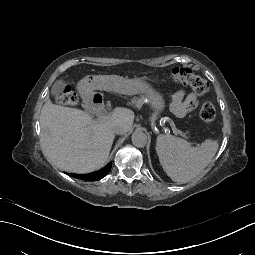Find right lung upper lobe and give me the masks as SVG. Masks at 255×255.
I'll return each mask as SVG.
<instances>
[{"mask_svg":"<svg viewBox=\"0 0 255 255\" xmlns=\"http://www.w3.org/2000/svg\"><path fill=\"white\" fill-rule=\"evenodd\" d=\"M112 166V163L107 164L104 168H102L101 170L91 173V174H86V175H74L71 174L72 176L76 177V178H80L83 180H97L98 178H100L101 176L107 175L108 172L110 171Z\"/></svg>","mask_w":255,"mask_h":255,"instance_id":"obj_1","label":"right lung upper lobe"}]
</instances>
